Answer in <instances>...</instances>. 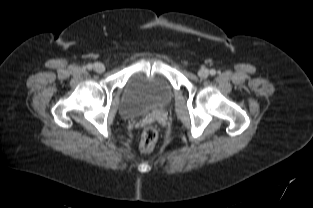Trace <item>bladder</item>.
<instances>
[{
	"instance_id": "31cf9c89",
	"label": "bladder",
	"mask_w": 313,
	"mask_h": 208,
	"mask_svg": "<svg viewBox=\"0 0 313 208\" xmlns=\"http://www.w3.org/2000/svg\"><path fill=\"white\" fill-rule=\"evenodd\" d=\"M172 95V86L164 77L136 73L125 85L119 110L126 116L140 115L166 105Z\"/></svg>"
}]
</instances>
